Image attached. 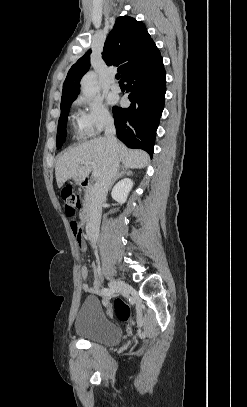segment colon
I'll return each mask as SVG.
<instances>
[{
  "label": "colon",
  "instance_id": "obj_1",
  "mask_svg": "<svg viewBox=\"0 0 247 407\" xmlns=\"http://www.w3.org/2000/svg\"><path fill=\"white\" fill-rule=\"evenodd\" d=\"M61 197L65 206V214L67 216H73L80 206L79 196L75 193L72 186H65L61 191ZM74 234L77 236L80 234L81 229L77 222H72L71 224ZM114 309L116 316L121 321H129L131 318V309L128 304H126L121 299H116L114 303Z\"/></svg>",
  "mask_w": 247,
  "mask_h": 407
}]
</instances>
